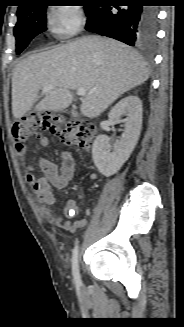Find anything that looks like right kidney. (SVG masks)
Returning a JSON list of instances; mask_svg holds the SVG:
<instances>
[{
    "label": "right kidney",
    "instance_id": "obj_1",
    "mask_svg": "<svg viewBox=\"0 0 184 327\" xmlns=\"http://www.w3.org/2000/svg\"><path fill=\"white\" fill-rule=\"evenodd\" d=\"M125 115V128L120 140L114 143V151L108 150L109 138L99 135L93 144L92 155L99 172L109 177L122 167L134 150L142 127V102L137 96H127L121 99L110 111L109 119L113 124Z\"/></svg>",
    "mask_w": 184,
    "mask_h": 327
}]
</instances>
